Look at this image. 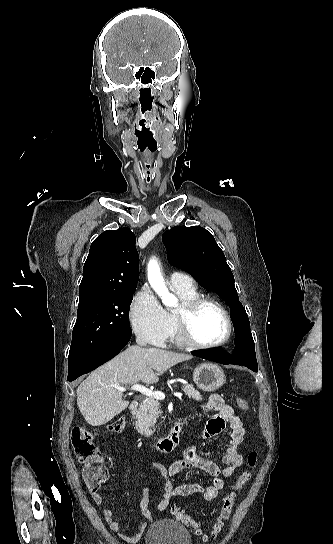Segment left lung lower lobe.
I'll use <instances>...</instances> for the list:
<instances>
[{
  "instance_id": "1",
  "label": "left lung lower lobe",
  "mask_w": 333,
  "mask_h": 544,
  "mask_svg": "<svg viewBox=\"0 0 333 544\" xmlns=\"http://www.w3.org/2000/svg\"><path fill=\"white\" fill-rule=\"evenodd\" d=\"M191 354L222 364L243 365L254 372L258 371L256 357L253 354V348L247 351L245 348L241 347L240 350H235L233 355L228 354L221 348L216 350H196L192 351Z\"/></svg>"
}]
</instances>
